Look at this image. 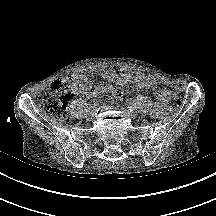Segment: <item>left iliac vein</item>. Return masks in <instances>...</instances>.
<instances>
[{"instance_id":"obj_1","label":"left iliac vein","mask_w":216,"mask_h":216,"mask_svg":"<svg viewBox=\"0 0 216 216\" xmlns=\"http://www.w3.org/2000/svg\"><path fill=\"white\" fill-rule=\"evenodd\" d=\"M122 111L127 113L133 119H135L137 117V113L129 111L128 109L122 108Z\"/></svg>"}]
</instances>
